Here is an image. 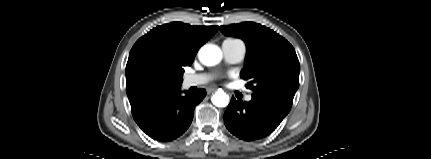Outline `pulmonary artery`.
<instances>
[{
  "label": "pulmonary artery",
  "instance_id": "obj_1",
  "mask_svg": "<svg viewBox=\"0 0 431 159\" xmlns=\"http://www.w3.org/2000/svg\"><path fill=\"white\" fill-rule=\"evenodd\" d=\"M222 52L225 60L230 64H236L243 61L246 48L242 41L236 39H227L222 43ZM211 79L208 74H194L189 75L184 80L185 87L198 86L208 82ZM252 98L251 94L245 97L246 101H250Z\"/></svg>",
  "mask_w": 431,
  "mask_h": 159
}]
</instances>
